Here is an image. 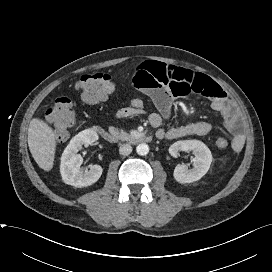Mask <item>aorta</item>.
<instances>
[{
    "label": "aorta",
    "mask_w": 272,
    "mask_h": 272,
    "mask_svg": "<svg viewBox=\"0 0 272 272\" xmlns=\"http://www.w3.org/2000/svg\"><path fill=\"white\" fill-rule=\"evenodd\" d=\"M136 152L138 155H141V156L147 155L149 152V146L145 143H140L136 147Z\"/></svg>",
    "instance_id": "762f6f07"
}]
</instances>
